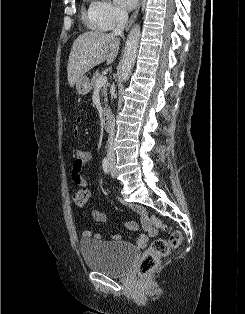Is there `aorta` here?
Here are the masks:
<instances>
[{
	"mask_svg": "<svg viewBox=\"0 0 245 314\" xmlns=\"http://www.w3.org/2000/svg\"><path fill=\"white\" fill-rule=\"evenodd\" d=\"M141 30L139 25H134L127 37L123 61L120 69L121 80L127 81L131 75L132 69L135 65Z\"/></svg>",
	"mask_w": 245,
	"mask_h": 314,
	"instance_id": "762f6f07",
	"label": "aorta"
}]
</instances>
